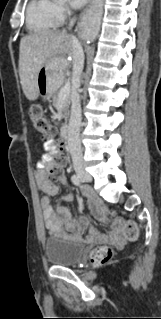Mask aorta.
I'll use <instances>...</instances> for the list:
<instances>
[{
    "label": "aorta",
    "mask_w": 161,
    "mask_h": 319,
    "mask_svg": "<svg viewBox=\"0 0 161 319\" xmlns=\"http://www.w3.org/2000/svg\"><path fill=\"white\" fill-rule=\"evenodd\" d=\"M90 16L88 15L85 19V29L88 31V30H91L92 32H96L97 29H98V25L95 23V24H91L90 20H89Z\"/></svg>",
    "instance_id": "762f6f07"
}]
</instances>
